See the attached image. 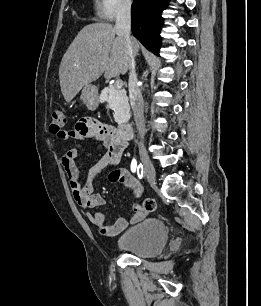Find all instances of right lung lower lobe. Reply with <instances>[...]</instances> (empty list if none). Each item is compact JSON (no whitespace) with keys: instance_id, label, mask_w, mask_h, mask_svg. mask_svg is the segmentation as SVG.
Here are the masks:
<instances>
[{"instance_id":"1","label":"right lung lower lobe","mask_w":261,"mask_h":306,"mask_svg":"<svg viewBox=\"0 0 261 306\" xmlns=\"http://www.w3.org/2000/svg\"><path fill=\"white\" fill-rule=\"evenodd\" d=\"M169 0H134L131 8L132 32L150 51L159 55L162 11Z\"/></svg>"}]
</instances>
